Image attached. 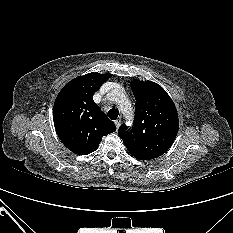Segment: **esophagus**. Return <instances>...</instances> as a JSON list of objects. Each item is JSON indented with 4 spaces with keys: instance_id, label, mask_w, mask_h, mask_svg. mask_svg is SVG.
<instances>
[{
    "instance_id": "34e87169",
    "label": "esophagus",
    "mask_w": 233,
    "mask_h": 233,
    "mask_svg": "<svg viewBox=\"0 0 233 233\" xmlns=\"http://www.w3.org/2000/svg\"><path fill=\"white\" fill-rule=\"evenodd\" d=\"M115 125H116V127H117V129H118L119 126L121 125V119H117V120L115 121Z\"/></svg>"
}]
</instances>
